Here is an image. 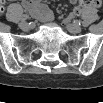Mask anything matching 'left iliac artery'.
<instances>
[{"label": "left iliac artery", "instance_id": "left-iliac-artery-1", "mask_svg": "<svg viewBox=\"0 0 103 103\" xmlns=\"http://www.w3.org/2000/svg\"><path fill=\"white\" fill-rule=\"evenodd\" d=\"M81 24H82V26L87 27L89 25V22L88 21H82Z\"/></svg>", "mask_w": 103, "mask_h": 103}]
</instances>
